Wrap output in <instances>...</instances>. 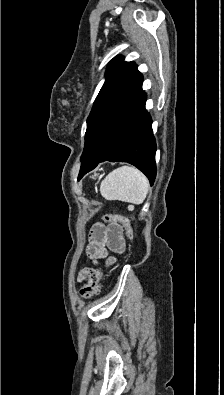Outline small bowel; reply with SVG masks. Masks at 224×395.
I'll return each instance as SVG.
<instances>
[{"mask_svg": "<svg viewBox=\"0 0 224 395\" xmlns=\"http://www.w3.org/2000/svg\"><path fill=\"white\" fill-rule=\"evenodd\" d=\"M107 247L116 252H121L124 249L125 243L120 228L114 232L111 228L107 229L103 224L96 223L92 227L90 241L86 249L88 258L93 263L106 258ZM86 274L87 271L82 270L78 277L79 281H83Z\"/></svg>", "mask_w": 224, "mask_h": 395, "instance_id": "small-bowel-1", "label": "small bowel"}]
</instances>
